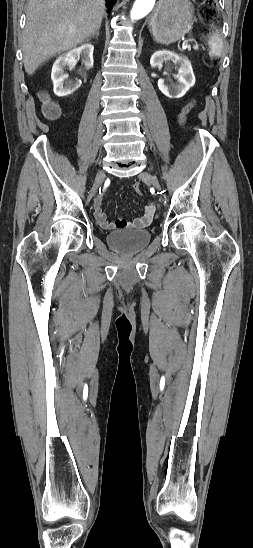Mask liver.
<instances>
[{"instance_id":"6515ba94","label":"liver","mask_w":253,"mask_h":548,"mask_svg":"<svg viewBox=\"0 0 253 548\" xmlns=\"http://www.w3.org/2000/svg\"><path fill=\"white\" fill-rule=\"evenodd\" d=\"M105 10L104 0H29L22 35L27 74L87 41L99 30Z\"/></svg>"}]
</instances>
